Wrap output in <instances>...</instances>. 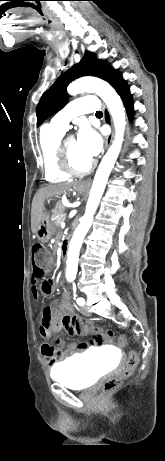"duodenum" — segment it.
<instances>
[{"instance_id": "duodenum-1", "label": "duodenum", "mask_w": 165, "mask_h": 461, "mask_svg": "<svg viewBox=\"0 0 165 461\" xmlns=\"http://www.w3.org/2000/svg\"><path fill=\"white\" fill-rule=\"evenodd\" d=\"M67 239H68V238L66 237L65 240H64V244H67Z\"/></svg>"}]
</instances>
